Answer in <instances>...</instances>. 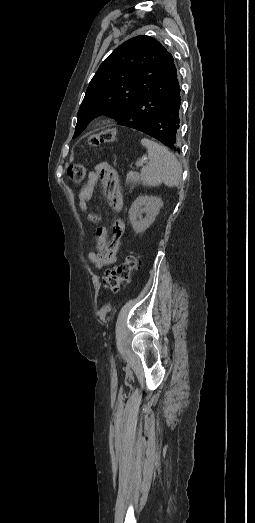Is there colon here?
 <instances>
[{"label": "colon", "mask_w": 255, "mask_h": 523, "mask_svg": "<svg viewBox=\"0 0 255 523\" xmlns=\"http://www.w3.org/2000/svg\"><path fill=\"white\" fill-rule=\"evenodd\" d=\"M116 138L114 129H107L89 135L86 147H95L104 143L112 142ZM86 166L82 163L70 165L68 175L74 182H81L86 175ZM138 258L135 254L126 255L122 262L109 269L106 272L107 288L116 293L119 291L121 284L128 283L131 280L132 272L137 268Z\"/></svg>", "instance_id": "1"}]
</instances>
